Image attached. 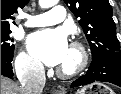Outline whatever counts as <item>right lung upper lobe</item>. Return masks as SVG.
I'll return each instance as SVG.
<instances>
[{
    "label": "right lung upper lobe",
    "instance_id": "cb5924a9",
    "mask_svg": "<svg viewBox=\"0 0 121 94\" xmlns=\"http://www.w3.org/2000/svg\"><path fill=\"white\" fill-rule=\"evenodd\" d=\"M29 0H1V30L10 29V20L18 8H23Z\"/></svg>",
    "mask_w": 121,
    "mask_h": 94
}]
</instances>
